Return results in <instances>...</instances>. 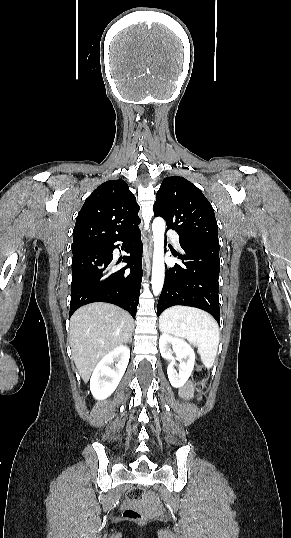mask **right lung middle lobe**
Segmentation results:
<instances>
[{
  "instance_id": "1",
  "label": "right lung middle lobe",
  "mask_w": 291,
  "mask_h": 538,
  "mask_svg": "<svg viewBox=\"0 0 291 538\" xmlns=\"http://www.w3.org/2000/svg\"><path fill=\"white\" fill-rule=\"evenodd\" d=\"M79 251H81V250H72V253L74 254V253L79 252Z\"/></svg>"
}]
</instances>
